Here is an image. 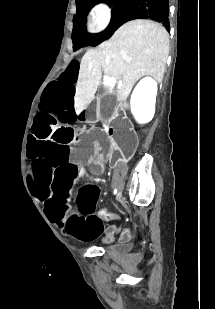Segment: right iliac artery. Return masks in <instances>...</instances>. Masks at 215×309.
I'll use <instances>...</instances> for the list:
<instances>
[{
  "instance_id": "right-iliac-artery-1",
  "label": "right iliac artery",
  "mask_w": 215,
  "mask_h": 309,
  "mask_svg": "<svg viewBox=\"0 0 215 309\" xmlns=\"http://www.w3.org/2000/svg\"><path fill=\"white\" fill-rule=\"evenodd\" d=\"M116 193H117V189L115 188V189H114V194H116Z\"/></svg>"
}]
</instances>
